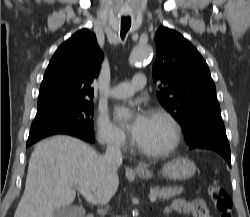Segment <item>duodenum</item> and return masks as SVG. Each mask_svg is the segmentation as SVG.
I'll return each instance as SVG.
<instances>
[{"label":"duodenum","instance_id":"410a0bca","mask_svg":"<svg viewBox=\"0 0 250 217\" xmlns=\"http://www.w3.org/2000/svg\"><path fill=\"white\" fill-rule=\"evenodd\" d=\"M85 217H94L93 214H87Z\"/></svg>","mask_w":250,"mask_h":217}]
</instances>
